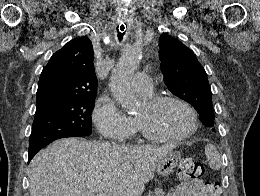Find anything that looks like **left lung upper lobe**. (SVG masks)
I'll list each match as a JSON object with an SVG mask.
<instances>
[{
    "label": "left lung upper lobe",
    "mask_w": 260,
    "mask_h": 196,
    "mask_svg": "<svg viewBox=\"0 0 260 196\" xmlns=\"http://www.w3.org/2000/svg\"><path fill=\"white\" fill-rule=\"evenodd\" d=\"M159 46L165 84L174 95L189 102L200 116L211 118L205 126L213 127L211 89L204 68L188 47L166 33L160 36Z\"/></svg>",
    "instance_id": "5c2ea615"
}]
</instances>
